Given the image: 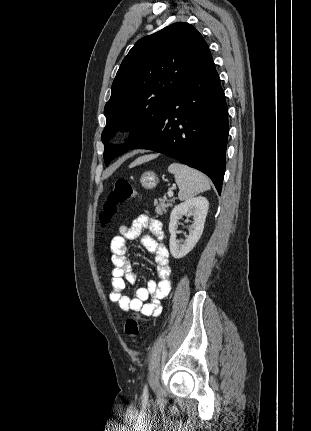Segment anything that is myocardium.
<instances>
[{"label": "myocardium", "mask_w": 311, "mask_h": 431, "mask_svg": "<svg viewBox=\"0 0 311 431\" xmlns=\"http://www.w3.org/2000/svg\"><path fill=\"white\" fill-rule=\"evenodd\" d=\"M142 127L139 123H131L126 126L125 133L126 135H137L141 132Z\"/></svg>", "instance_id": "obj_1"}]
</instances>
